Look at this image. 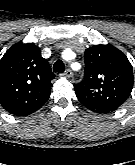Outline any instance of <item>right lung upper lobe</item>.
Segmentation results:
<instances>
[{
    "label": "right lung upper lobe",
    "mask_w": 135,
    "mask_h": 165,
    "mask_svg": "<svg viewBox=\"0 0 135 165\" xmlns=\"http://www.w3.org/2000/svg\"><path fill=\"white\" fill-rule=\"evenodd\" d=\"M54 78L40 48L18 42L0 60V103L13 115L32 114L48 100Z\"/></svg>",
    "instance_id": "cb5924a9"
}]
</instances>
